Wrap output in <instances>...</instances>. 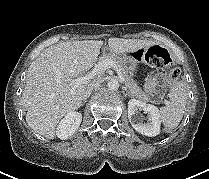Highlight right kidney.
<instances>
[{
    "mask_svg": "<svg viewBox=\"0 0 209 179\" xmlns=\"http://www.w3.org/2000/svg\"><path fill=\"white\" fill-rule=\"evenodd\" d=\"M82 121V114L76 111L69 112L60 121L56 128V135L60 139H67L79 128Z\"/></svg>",
    "mask_w": 209,
    "mask_h": 179,
    "instance_id": "1",
    "label": "right kidney"
}]
</instances>
